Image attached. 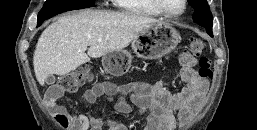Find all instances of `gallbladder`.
Listing matches in <instances>:
<instances>
[{
  "mask_svg": "<svg viewBox=\"0 0 257 130\" xmlns=\"http://www.w3.org/2000/svg\"><path fill=\"white\" fill-rule=\"evenodd\" d=\"M55 82V77L53 75L48 76L46 79V84L51 85Z\"/></svg>",
  "mask_w": 257,
  "mask_h": 130,
  "instance_id": "obj_1",
  "label": "gallbladder"
}]
</instances>
